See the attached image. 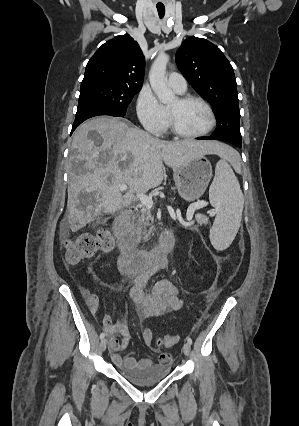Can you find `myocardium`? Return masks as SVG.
Instances as JSON below:
<instances>
[{
  "mask_svg": "<svg viewBox=\"0 0 299 426\" xmlns=\"http://www.w3.org/2000/svg\"><path fill=\"white\" fill-rule=\"evenodd\" d=\"M177 100L180 104H186L188 102H198V103L202 104L209 114L210 123H209V126L202 132L187 133V132L183 131L182 129H180V127L177 123V120H176L175 113L172 110L168 109L169 123H170L171 129H172V131L175 135L182 137V138L195 139V138H200V137H204V136L208 135L214 129V127L216 125L215 112H214L212 106L204 98H202L200 96H196V95H182V96L178 97Z\"/></svg>",
  "mask_w": 299,
  "mask_h": 426,
  "instance_id": "obj_1",
  "label": "myocardium"
}]
</instances>
